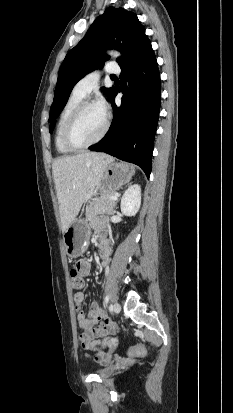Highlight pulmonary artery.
I'll return each instance as SVG.
<instances>
[{"label": "pulmonary artery", "instance_id": "pulmonary-artery-1", "mask_svg": "<svg viewBox=\"0 0 233 413\" xmlns=\"http://www.w3.org/2000/svg\"><path fill=\"white\" fill-rule=\"evenodd\" d=\"M105 71L107 73H118L119 67L115 64H109ZM99 79L100 73L98 71L91 72L77 82L73 91L85 97L97 86Z\"/></svg>", "mask_w": 233, "mask_h": 413}]
</instances>
